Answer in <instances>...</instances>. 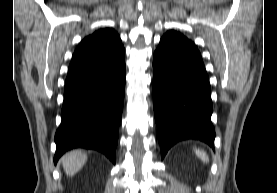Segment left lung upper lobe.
Here are the masks:
<instances>
[{
  "mask_svg": "<svg viewBox=\"0 0 277 193\" xmlns=\"http://www.w3.org/2000/svg\"><path fill=\"white\" fill-rule=\"evenodd\" d=\"M165 35H171V36H177V37H180L184 40H187L189 42H191L190 40H188L184 35H182L181 33L179 32H176L174 30H171V31H168ZM192 43V42H191Z\"/></svg>",
  "mask_w": 277,
  "mask_h": 193,
  "instance_id": "5c2ea615",
  "label": "left lung upper lobe"
}]
</instances>
